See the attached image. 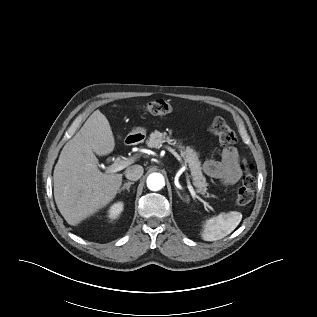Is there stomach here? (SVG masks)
Masks as SVG:
<instances>
[{"label":"stomach","instance_id":"obj_1","mask_svg":"<svg viewBox=\"0 0 317 317\" xmlns=\"http://www.w3.org/2000/svg\"><path fill=\"white\" fill-rule=\"evenodd\" d=\"M128 136H135L136 141H143L146 137V129L144 127H136Z\"/></svg>","mask_w":317,"mask_h":317}]
</instances>
